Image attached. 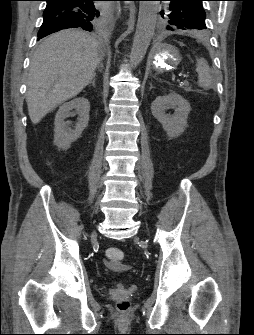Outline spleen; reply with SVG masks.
<instances>
[{
	"label": "spleen",
	"instance_id": "3e777b00",
	"mask_svg": "<svg viewBox=\"0 0 254 335\" xmlns=\"http://www.w3.org/2000/svg\"><path fill=\"white\" fill-rule=\"evenodd\" d=\"M196 72L198 74V86L204 89H208L213 85V79L211 75L210 67L206 60L200 58L197 59Z\"/></svg>",
	"mask_w": 254,
	"mask_h": 335
}]
</instances>
